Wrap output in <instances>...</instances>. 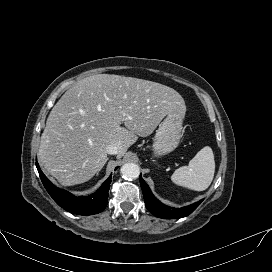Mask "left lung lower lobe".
<instances>
[{
	"mask_svg": "<svg viewBox=\"0 0 272 272\" xmlns=\"http://www.w3.org/2000/svg\"><path fill=\"white\" fill-rule=\"evenodd\" d=\"M142 188L145 206L155 216L163 219H179L191 214L201 203V201L183 208H172L161 203L151 192L149 186L139 177Z\"/></svg>",
	"mask_w": 272,
	"mask_h": 272,
	"instance_id": "left-lung-lower-lobe-1",
	"label": "left lung lower lobe"
}]
</instances>
